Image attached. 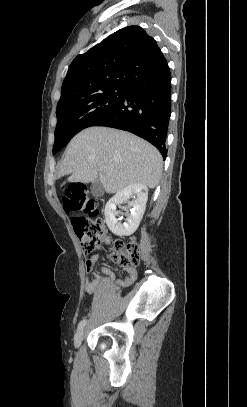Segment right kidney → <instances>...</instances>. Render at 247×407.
<instances>
[{
	"label": "right kidney",
	"mask_w": 247,
	"mask_h": 407,
	"mask_svg": "<svg viewBox=\"0 0 247 407\" xmlns=\"http://www.w3.org/2000/svg\"><path fill=\"white\" fill-rule=\"evenodd\" d=\"M133 197V201L129 199ZM148 199V188L143 184H131L118 191L106 204L104 215L105 221L112 233L117 236H129L133 234L142 220ZM128 202L130 213L126 214V220L121 223L116 219L118 214L117 205Z\"/></svg>",
	"instance_id": "right-kidney-1"
}]
</instances>
